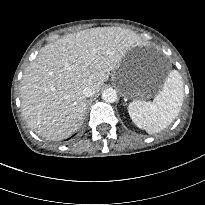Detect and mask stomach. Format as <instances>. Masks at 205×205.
I'll list each match as a JSON object with an SVG mask.
<instances>
[{
    "label": "stomach",
    "mask_w": 205,
    "mask_h": 205,
    "mask_svg": "<svg viewBox=\"0 0 205 205\" xmlns=\"http://www.w3.org/2000/svg\"><path fill=\"white\" fill-rule=\"evenodd\" d=\"M136 60L127 56L113 71L112 80L127 98L147 99L159 91L160 86L143 80Z\"/></svg>",
    "instance_id": "1"
}]
</instances>
